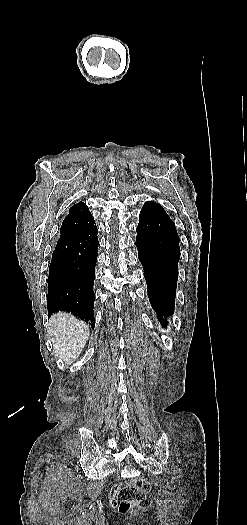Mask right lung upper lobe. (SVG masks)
Masks as SVG:
<instances>
[{"mask_svg":"<svg viewBox=\"0 0 247 525\" xmlns=\"http://www.w3.org/2000/svg\"><path fill=\"white\" fill-rule=\"evenodd\" d=\"M94 218L88 206L83 202L73 205L61 226V235L57 243L67 240L94 225Z\"/></svg>","mask_w":247,"mask_h":525,"instance_id":"obj_1","label":"right lung upper lobe"}]
</instances>
